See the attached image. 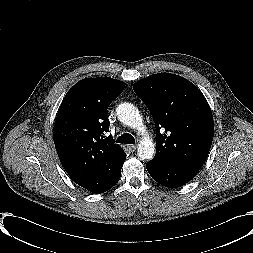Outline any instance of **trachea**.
<instances>
[{
	"mask_svg": "<svg viewBox=\"0 0 253 253\" xmlns=\"http://www.w3.org/2000/svg\"><path fill=\"white\" fill-rule=\"evenodd\" d=\"M116 142L124 144H135V139L131 134L124 133L116 139Z\"/></svg>",
	"mask_w": 253,
	"mask_h": 253,
	"instance_id": "3493384b",
	"label": "trachea"
}]
</instances>
